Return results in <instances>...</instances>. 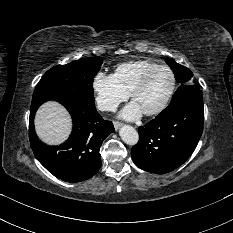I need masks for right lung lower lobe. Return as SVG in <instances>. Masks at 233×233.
Returning <instances> with one entry per match:
<instances>
[{
	"instance_id": "obj_1",
	"label": "right lung lower lobe",
	"mask_w": 233,
	"mask_h": 233,
	"mask_svg": "<svg viewBox=\"0 0 233 233\" xmlns=\"http://www.w3.org/2000/svg\"><path fill=\"white\" fill-rule=\"evenodd\" d=\"M51 99L32 102L29 117V139L38 161L54 176L67 182H81L93 177L101 167L99 149L103 140L115 131L112 122L102 119L95 104L71 98L54 99L64 105L73 121V131L59 146L42 143L34 128L38 107Z\"/></svg>"
}]
</instances>
